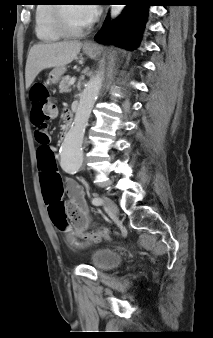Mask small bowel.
I'll list each match as a JSON object with an SVG mask.
<instances>
[{
  "instance_id": "obj_1",
  "label": "small bowel",
  "mask_w": 213,
  "mask_h": 338,
  "mask_svg": "<svg viewBox=\"0 0 213 338\" xmlns=\"http://www.w3.org/2000/svg\"><path fill=\"white\" fill-rule=\"evenodd\" d=\"M65 113L67 116L69 111L66 110ZM47 148L49 147L47 146ZM38 169L44 202L48 207L49 214L52 205L60 202L61 190L63 186L65 187L69 197V202L65 204V210L72 219V223L64 221L57 226L66 235L68 243L74 245L81 237H85L89 244L99 241L103 236L100 232L86 233L91 226V218L82 187L73 180L62 182L55 159L50 155L39 156Z\"/></svg>"
}]
</instances>
